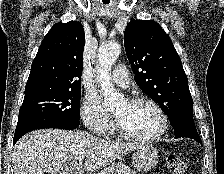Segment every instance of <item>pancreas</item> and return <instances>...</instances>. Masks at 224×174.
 Masks as SVG:
<instances>
[{
	"instance_id": "1",
	"label": "pancreas",
	"mask_w": 224,
	"mask_h": 174,
	"mask_svg": "<svg viewBox=\"0 0 224 174\" xmlns=\"http://www.w3.org/2000/svg\"><path fill=\"white\" fill-rule=\"evenodd\" d=\"M99 174H137V173L122 163H113L109 167L103 169Z\"/></svg>"
}]
</instances>
